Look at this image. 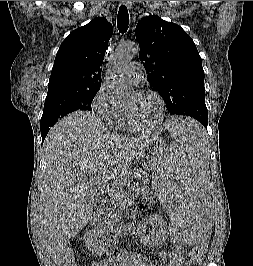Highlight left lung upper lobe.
Returning <instances> with one entry per match:
<instances>
[{"instance_id": "5c2ea615", "label": "left lung upper lobe", "mask_w": 253, "mask_h": 266, "mask_svg": "<svg viewBox=\"0 0 253 266\" xmlns=\"http://www.w3.org/2000/svg\"><path fill=\"white\" fill-rule=\"evenodd\" d=\"M136 40L147 80L170 115L190 116L207 126L204 71L191 37L179 25L150 15L137 24Z\"/></svg>"}]
</instances>
